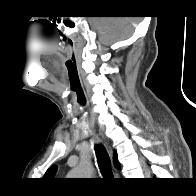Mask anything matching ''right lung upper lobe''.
Listing matches in <instances>:
<instances>
[{
    "instance_id": "right-lung-upper-lobe-1",
    "label": "right lung upper lobe",
    "mask_w": 196,
    "mask_h": 196,
    "mask_svg": "<svg viewBox=\"0 0 196 196\" xmlns=\"http://www.w3.org/2000/svg\"><path fill=\"white\" fill-rule=\"evenodd\" d=\"M115 165H116V167L117 168H120V165H119V163L117 162V157H116V153H115ZM56 166H53V167H51V168H49L47 171H46V173H45V175H44V177L43 178H46V179H53V176H54V174H55V172H56Z\"/></svg>"
}]
</instances>
